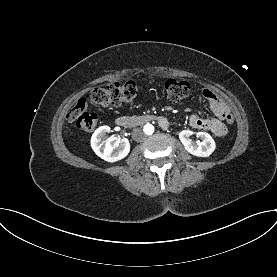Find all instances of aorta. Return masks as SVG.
<instances>
[{
	"label": "aorta",
	"mask_w": 277,
	"mask_h": 277,
	"mask_svg": "<svg viewBox=\"0 0 277 277\" xmlns=\"http://www.w3.org/2000/svg\"><path fill=\"white\" fill-rule=\"evenodd\" d=\"M143 131L147 135H151L154 132V126L150 123L146 124L143 128Z\"/></svg>",
	"instance_id": "aorta-1"
}]
</instances>
